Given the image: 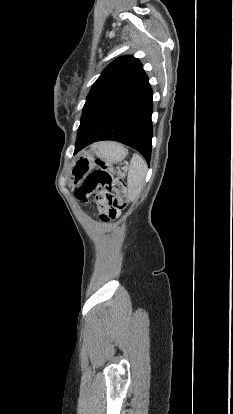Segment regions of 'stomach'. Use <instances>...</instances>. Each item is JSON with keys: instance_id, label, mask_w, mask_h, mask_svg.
<instances>
[{"instance_id": "obj_1", "label": "stomach", "mask_w": 233, "mask_h": 414, "mask_svg": "<svg viewBox=\"0 0 233 414\" xmlns=\"http://www.w3.org/2000/svg\"><path fill=\"white\" fill-rule=\"evenodd\" d=\"M128 152L120 144L115 142H102L93 148V153H82L73 159L70 182L75 185L82 181V179L94 167V155L108 163H118L122 161Z\"/></svg>"}]
</instances>
